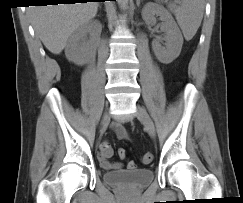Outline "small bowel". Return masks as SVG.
I'll return each instance as SVG.
<instances>
[{
    "instance_id": "1",
    "label": "small bowel",
    "mask_w": 243,
    "mask_h": 203,
    "mask_svg": "<svg viewBox=\"0 0 243 203\" xmlns=\"http://www.w3.org/2000/svg\"><path fill=\"white\" fill-rule=\"evenodd\" d=\"M112 129L116 133L117 137L119 139H128V132L126 129L119 123H114L112 126ZM113 148L111 144L108 141H102L99 145V153H98V159L100 162V166L107 170H120L122 167V164L119 162H111L110 158L113 156ZM119 154V151H118ZM120 158H124L125 155L121 156L119 154Z\"/></svg>"
}]
</instances>
